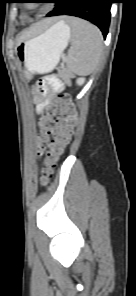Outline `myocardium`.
Wrapping results in <instances>:
<instances>
[{
  "mask_svg": "<svg viewBox=\"0 0 136 296\" xmlns=\"http://www.w3.org/2000/svg\"><path fill=\"white\" fill-rule=\"evenodd\" d=\"M32 5H33V4H31V3H27V4H26V6H32Z\"/></svg>",
  "mask_w": 136,
  "mask_h": 296,
  "instance_id": "obj_1",
  "label": "myocardium"
}]
</instances>
